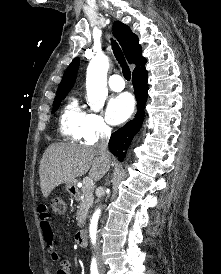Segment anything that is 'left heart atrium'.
<instances>
[{
  "label": "left heart atrium",
  "instance_id": "obj_1",
  "mask_svg": "<svg viewBox=\"0 0 221 274\" xmlns=\"http://www.w3.org/2000/svg\"><path fill=\"white\" fill-rule=\"evenodd\" d=\"M134 109V101L132 97L127 94H119L113 96L107 103L106 117L113 125H118L127 120Z\"/></svg>",
  "mask_w": 221,
  "mask_h": 274
}]
</instances>
